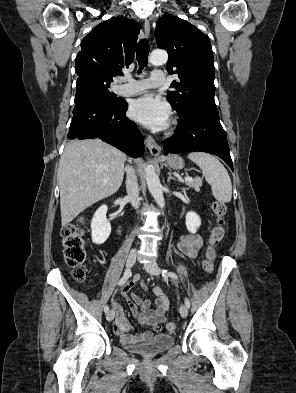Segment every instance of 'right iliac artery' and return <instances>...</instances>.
I'll list each match as a JSON object with an SVG mask.
<instances>
[{"label": "right iliac artery", "instance_id": "1", "mask_svg": "<svg viewBox=\"0 0 296 393\" xmlns=\"http://www.w3.org/2000/svg\"><path fill=\"white\" fill-rule=\"evenodd\" d=\"M130 275H131V272L129 269H127L125 271L123 277L119 280L118 285H123L124 283H126L127 280L129 279ZM104 311H105V313H107L109 311V307L107 305L104 307Z\"/></svg>", "mask_w": 296, "mask_h": 393}]
</instances>
